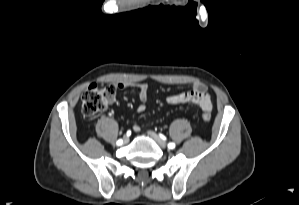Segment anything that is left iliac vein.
Masks as SVG:
<instances>
[{"label": "left iliac vein", "instance_id": "1", "mask_svg": "<svg viewBox=\"0 0 299 205\" xmlns=\"http://www.w3.org/2000/svg\"><path fill=\"white\" fill-rule=\"evenodd\" d=\"M148 135L161 147V148H166L167 144L166 142L155 132L153 131H148Z\"/></svg>", "mask_w": 299, "mask_h": 205}]
</instances>
